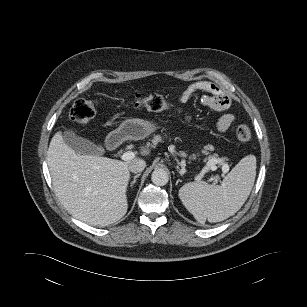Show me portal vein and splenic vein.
Segmentation results:
<instances>
[{
    "mask_svg": "<svg viewBox=\"0 0 307 307\" xmlns=\"http://www.w3.org/2000/svg\"><path fill=\"white\" fill-rule=\"evenodd\" d=\"M135 158V153L132 152V151H127V152H124L122 155H121V159L124 160V161H130L132 159ZM220 160H217V159H214L210 162L207 163V165L203 168V172L206 173V172H209L210 170L211 171H216L217 170V166H215L217 163H219ZM222 170L223 172H228L229 170V166L228 164H222ZM219 180V175H215L214 176V181L217 182Z\"/></svg>",
    "mask_w": 307,
    "mask_h": 307,
    "instance_id": "obj_1",
    "label": "portal vein and splenic vein"
}]
</instances>
